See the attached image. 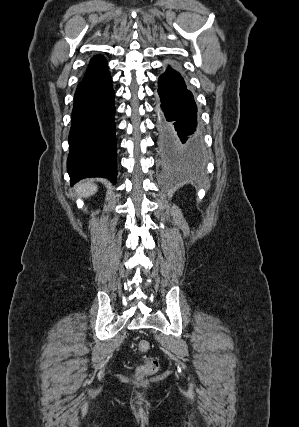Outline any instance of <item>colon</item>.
<instances>
[{
    "label": "colon",
    "mask_w": 299,
    "mask_h": 427,
    "mask_svg": "<svg viewBox=\"0 0 299 427\" xmlns=\"http://www.w3.org/2000/svg\"><path fill=\"white\" fill-rule=\"evenodd\" d=\"M149 343L147 341H140L138 344V348L142 352H146L149 350ZM158 361L155 359H148L141 363L136 371V374L139 378H144L146 376L152 375L158 369Z\"/></svg>",
    "instance_id": "1"
}]
</instances>
